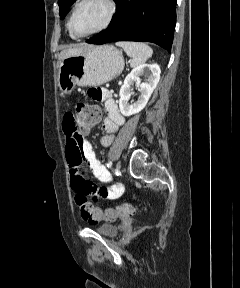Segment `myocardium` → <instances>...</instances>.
<instances>
[{"label": "myocardium", "instance_id": "f54148a6", "mask_svg": "<svg viewBox=\"0 0 240 288\" xmlns=\"http://www.w3.org/2000/svg\"><path fill=\"white\" fill-rule=\"evenodd\" d=\"M87 1L88 0H79L77 2V4L74 6V8L72 10V13H71V16H70V19L68 22L69 30L76 38H85V37H89V36H92V35H95L97 33L104 31L105 29H107L110 26V24L112 23L114 16H115L116 5H115L114 1L113 0H103V2L107 5L108 11H107L106 18H105L104 22L102 23V25L99 26L98 28H96L95 30L89 32V33L77 34L73 28L74 17H75L77 10L79 9V7Z\"/></svg>", "mask_w": 240, "mask_h": 288}]
</instances>
